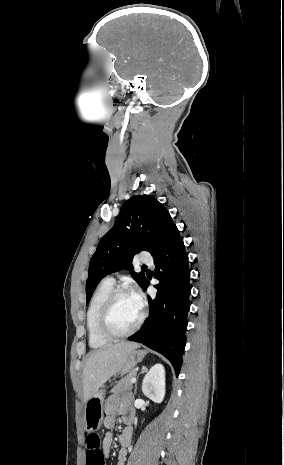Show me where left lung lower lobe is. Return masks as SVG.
Instances as JSON below:
<instances>
[{"instance_id": "obj_1", "label": "left lung lower lobe", "mask_w": 284, "mask_h": 465, "mask_svg": "<svg viewBox=\"0 0 284 465\" xmlns=\"http://www.w3.org/2000/svg\"><path fill=\"white\" fill-rule=\"evenodd\" d=\"M155 278L160 282L155 299L148 296L150 314L145 327L129 338L164 355L178 376L186 343L190 309V270L183 239L177 229L164 249L153 256ZM149 285L147 278L141 287Z\"/></svg>"}]
</instances>
